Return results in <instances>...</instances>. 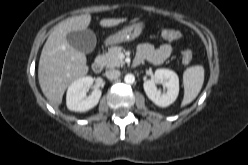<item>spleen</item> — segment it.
I'll list each match as a JSON object with an SVG mask.
<instances>
[{
    "label": "spleen",
    "mask_w": 248,
    "mask_h": 165,
    "mask_svg": "<svg viewBox=\"0 0 248 165\" xmlns=\"http://www.w3.org/2000/svg\"><path fill=\"white\" fill-rule=\"evenodd\" d=\"M204 82L203 66H192L187 68L183 74L184 97L181 106L190 104L199 94Z\"/></svg>",
    "instance_id": "1"
}]
</instances>
